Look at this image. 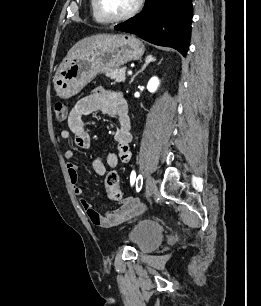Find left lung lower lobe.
I'll return each mask as SVG.
<instances>
[{
	"label": "left lung lower lobe",
	"mask_w": 261,
	"mask_h": 306,
	"mask_svg": "<svg viewBox=\"0 0 261 306\" xmlns=\"http://www.w3.org/2000/svg\"><path fill=\"white\" fill-rule=\"evenodd\" d=\"M191 0H147L135 17L115 26L156 45L172 47L186 56L191 32Z\"/></svg>",
	"instance_id": "obj_1"
}]
</instances>
